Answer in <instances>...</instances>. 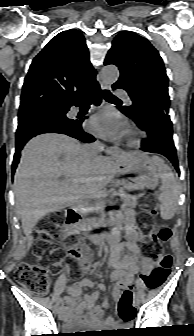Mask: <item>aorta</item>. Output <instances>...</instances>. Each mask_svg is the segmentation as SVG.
<instances>
[{"mask_svg": "<svg viewBox=\"0 0 194 336\" xmlns=\"http://www.w3.org/2000/svg\"><path fill=\"white\" fill-rule=\"evenodd\" d=\"M119 77L118 68L114 65L105 66L101 70V78L105 83L112 84Z\"/></svg>", "mask_w": 194, "mask_h": 336, "instance_id": "obj_1", "label": "aorta"}]
</instances>
